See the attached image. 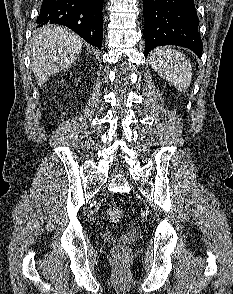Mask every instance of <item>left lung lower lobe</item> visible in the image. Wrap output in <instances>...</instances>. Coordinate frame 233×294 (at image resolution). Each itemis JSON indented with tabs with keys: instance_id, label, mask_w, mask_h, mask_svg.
Returning a JSON list of instances; mask_svg holds the SVG:
<instances>
[{
	"instance_id": "obj_1",
	"label": "left lung lower lobe",
	"mask_w": 233,
	"mask_h": 294,
	"mask_svg": "<svg viewBox=\"0 0 233 294\" xmlns=\"http://www.w3.org/2000/svg\"><path fill=\"white\" fill-rule=\"evenodd\" d=\"M143 14L146 56L157 46L177 45L201 57L203 44L194 0H143Z\"/></svg>"
}]
</instances>
